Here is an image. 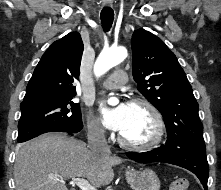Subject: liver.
Here are the masks:
<instances>
[{
  "instance_id": "6515ba94",
  "label": "liver",
  "mask_w": 221,
  "mask_h": 190,
  "mask_svg": "<svg viewBox=\"0 0 221 190\" xmlns=\"http://www.w3.org/2000/svg\"><path fill=\"white\" fill-rule=\"evenodd\" d=\"M116 156L93 154L82 141L44 134L20 145L14 165L15 190H68L65 179L85 177L95 187L114 178Z\"/></svg>"
}]
</instances>
